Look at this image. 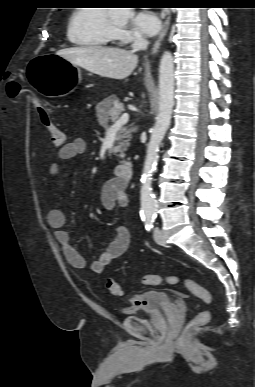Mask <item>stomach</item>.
Instances as JSON below:
<instances>
[{
    "label": "stomach",
    "mask_w": 255,
    "mask_h": 387,
    "mask_svg": "<svg viewBox=\"0 0 255 387\" xmlns=\"http://www.w3.org/2000/svg\"><path fill=\"white\" fill-rule=\"evenodd\" d=\"M51 46H42L43 55H35L26 67V82H32L33 91L39 95H56L60 98L65 91H75L81 71L77 65L54 55Z\"/></svg>",
    "instance_id": "stomach-1"
}]
</instances>
